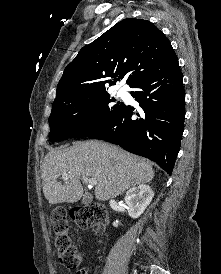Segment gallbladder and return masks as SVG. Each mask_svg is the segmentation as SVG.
Here are the masks:
<instances>
[{
  "instance_id": "gallbladder-1",
  "label": "gallbladder",
  "mask_w": 221,
  "mask_h": 274,
  "mask_svg": "<svg viewBox=\"0 0 221 274\" xmlns=\"http://www.w3.org/2000/svg\"><path fill=\"white\" fill-rule=\"evenodd\" d=\"M91 200H92L91 196L88 193H86L84 197L82 198V203L86 205V204H89Z\"/></svg>"
}]
</instances>
